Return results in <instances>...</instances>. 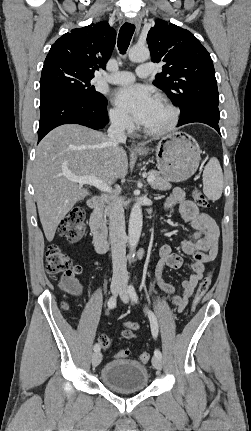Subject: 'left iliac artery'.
<instances>
[{
	"instance_id": "left-iliac-artery-1",
	"label": "left iliac artery",
	"mask_w": 251,
	"mask_h": 431,
	"mask_svg": "<svg viewBox=\"0 0 251 431\" xmlns=\"http://www.w3.org/2000/svg\"><path fill=\"white\" fill-rule=\"evenodd\" d=\"M128 292H129V295H130L132 301H134L135 303H138V296H137V293H136L133 285H130L128 287ZM146 313H147L149 321H150L152 335L154 338H156L158 335L157 318H156L155 314L147 308H146ZM154 355L158 358H162V353L160 352L159 349H155Z\"/></svg>"
}]
</instances>
